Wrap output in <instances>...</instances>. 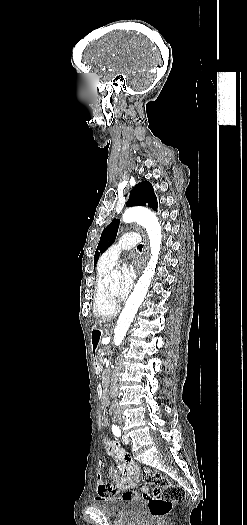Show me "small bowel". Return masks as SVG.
Listing matches in <instances>:
<instances>
[{
    "label": "small bowel",
    "instance_id": "obj_1",
    "mask_svg": "<svg viewBox=\"0 0 247 525\" xmlns=\"http://www.w3.org/2000/svg\"><path fill=\"white\" fill-rule=\"evenodd\" d=\"M103 446L106 453L112 458L114 463L117 465L122 476L114 468H109L107 473L109 477L117 483L118 492H122L120 497H115L113 499H122L124 501H131L138 498L142 494L148 492V488L143 486L141 491L133 490V487L136 485L139 479L140 469L138 464L122 449H120L116 442L110 439L109 437H103ZM102 461L98 462V467H102ZM97 481L99 483L98 494L100 497L105 498L108 496L109 491L112 490L113 485L109 481H103L101 473L97 475Z\"/></svg>",
    "mask_w": 247,
    "mask_h": 525
}]
</instances>
